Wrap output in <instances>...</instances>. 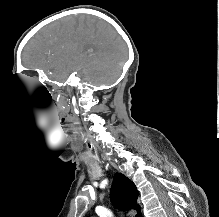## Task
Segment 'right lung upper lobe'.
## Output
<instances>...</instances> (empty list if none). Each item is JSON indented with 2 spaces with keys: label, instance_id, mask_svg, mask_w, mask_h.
Returning <instances> with one entry per match:
<instances>
[{
  "label": "right lung upper lobe",
  "instance_id": "cb5924a9",
  "mask_svg": "<svg viewBox=\"0 0 219 217\" xmlns=\"http://www.w3.org/2000/svg\"><path fill=\"white\" fill-rule=\"evenodd\" d=\"M139 192L135 184L123 174L117 173L111 187L110 199L119 210L135 209L136 217H142L140 206L137 203Z\"/></svg>",
  "mask_w": 219,
  "mask_h": 217
}]
</instances>
